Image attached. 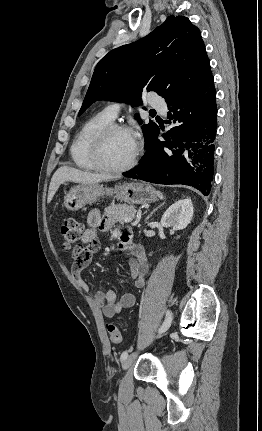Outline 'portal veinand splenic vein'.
I'll use <instances>...</instances> for the list:
<instances>
[{
  "mask_svg": "<svg viewBox=\"0 0 262 431\" xmlns=\"http://www.w3.org/2000/svg\"><path fill=\"white\" fill-rule=\"evenodd\" d=\"M133 219H134V216L127 217V218H125V222H132V221H133ZM138 223H139V219H137V220L134 222V224H138Z\"/></svg>",
  "mask_w": 262,
  "mask_h": 431,
  "instance_id": "portal-vein-and-splenic-vein-1",
  "label": "portal vein and splenic vein"
}]
</instances>
